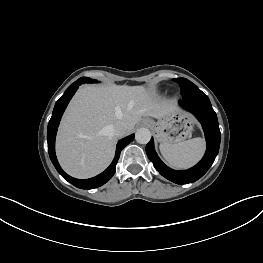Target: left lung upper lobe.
Instances as JSON below:
<instances>
[{
  "label": "left lung upper lobe",
  "instance_id": "1",
  "mask_svg": "<svg viewBox=\"0 0 263 263\" xmlns=\"http://www.w3.org/2000/svg\"><path fill=\"white\" fill-rule=\"evenodd\" d=\"M175 82L179 83L181 88V95L186 96L190 94L200 93L202 92L195 84L185 78H176Z\"/></svg>",
  "mask_w": 263,
  "mask_h": 263
}]
</instances>
